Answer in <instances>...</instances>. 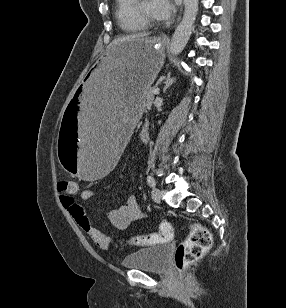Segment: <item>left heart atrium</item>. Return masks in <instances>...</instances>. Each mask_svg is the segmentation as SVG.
Listing matches in <instances>:
<instances>
[{
	"label": "left heart atrium",
	"mask_w": 286,
	"mask_h": 308,
	"mask_svg": "<svg viewBox=\"0 0 286 308\" xmlns=\"http://www.w3.org/2000/svg\"><path fill=\"white\" fill-rule=\"evenodd\" d=\"M152 9L158 19L169 18L174 10L172 0H152Z\"/></svg>",
	"instance_id": "obj_1"
}]
</instances>
